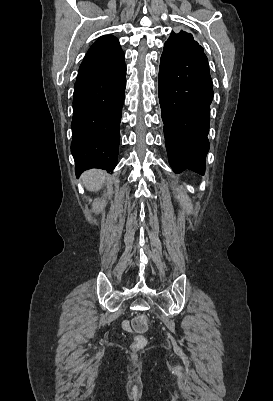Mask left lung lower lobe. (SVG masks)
Here are the masks:
<instances>
[{
	"label": "left lung lower lobe",
	"mask_w": 273,
	"mask_h": 401,
	"mask_svg": "<svg viewBox=\"0 0 273 401\" xmlns=\"http://www.w3.org/2000/svg\"><path fill=\"white\" fill-rule=\"evenodd\" d=\"M158 88L170 166L175 173L204 174L213 83L207 57L194 38L165 43Z\"/></svg>",
	"instance_id": "1"
}]
</instances>
